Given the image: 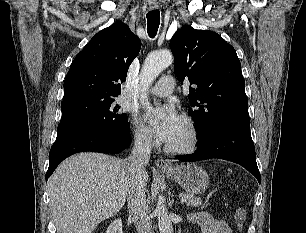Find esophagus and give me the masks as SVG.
<instances>
[{"mask_svg": "<svg viewBox=\"0 0 306 233\" xmlns=\"http://www.w3.org/2000/svg\"><path fill=\"white\" fill-rule=\"evenodd\" d=\"M149 8L151 10H155V9L158 8V4L150 3ZM155 165H156L157 168H169L170 167V165L162 158H158L155 162Z\"/></svg>", "mask_w": 306, "mask_h": 233, "instance_id": "1", "label": "esophagus"}]
</instances>
